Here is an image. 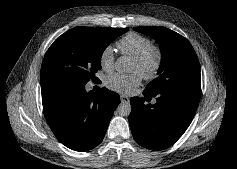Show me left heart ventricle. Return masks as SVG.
<instances>
[{
	"label": "left heart ventricle",
	"mask_w": 237,
	"mask_h": 169,
	"mask_svg": "<svg viewBox=\"0 0 237 169\" xmlns=\"http://www.w3.org/2000/svg\"><path fill=\"white\" fill-rule=\"evenodd\" d=\"M152 63V59H150V61H149V65ZM131 71H137V72H140V70H141V67H140V65L137 63V62H135L134 60H133V62H132V65H131V69H130Z\"/></svg>",
	"instance_id": "obj_1"
}]
</instances>
